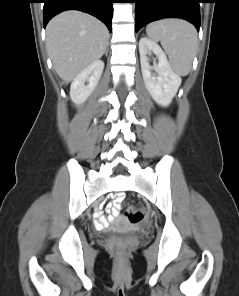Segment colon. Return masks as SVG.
I'll list each match as a JSON object with an SVG mask.
<instances>
[{"label": "colon", "mask_w": 239, "mask_h": 296, "mask_svg": "<svg viewBox=\"0 0 239 296\" xmlns=\"http://www.w3.org/2000/svg\"><path fill=\"white\" fill-rule=\"evenodd\" d=\"M119 197L121 200L123 199V196H119ZM124 214L127 217L128 221L133 225L138 224L145 217L144 210L134 205H127L124 209ZM113 250L115 253L119 255H123L127 251L124 243H115L113 245Z\"/></svg>", "instance_id": "obj_1"}]
</instances>
